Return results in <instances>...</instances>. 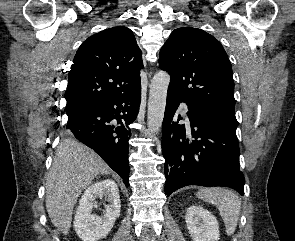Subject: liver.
<instances>
[{
	"label": "liver",
	"instance_id": "1",
	"mask_svg": "<svg viewBox=\"0 0 295 241\" xmlns=\"http://www.w3.org/2000/svg\"><path fill=\"white\" fill-rule=\"evenodd\" d=\"M109 172V166L87 146L73 139L60 142L46 178L45 202L51 222L64 235L82 191L97 175Z\"/></svg>",
	"mask_w": 295,
	"mask_h": 241
}]
</instances>
